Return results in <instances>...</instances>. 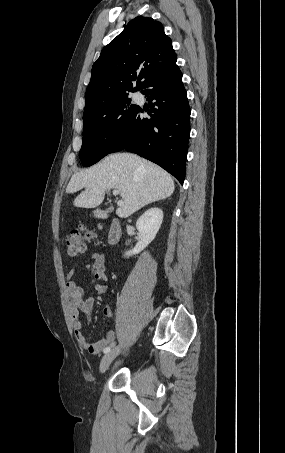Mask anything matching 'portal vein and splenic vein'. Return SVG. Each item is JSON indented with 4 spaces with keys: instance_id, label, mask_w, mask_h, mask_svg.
<instances>
[{
    "instance_id": "obj_1",
    "label": "portal vein and splenic vein",
    "mask_w": 285,
    "mask_h": 453,
    "mask_svg": "<svg viewBox=\"0 0 285 453\" xmlns=\"http://www.w3.org/2000/svg\"><path fill=\"white\" fill-rule=\"evenodd\" d=\"M119 194V191L117 189L113 190V195H118ZM118 204H121V202H119Z\"/></svg>"
}]
</instances>
